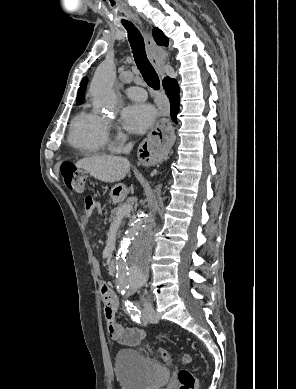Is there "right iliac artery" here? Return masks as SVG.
<instances>
[{
  "instance_id": "right-iliac-artery-1",
  "label": "right iliac artery",
  "mask_w": 296,
  "mask_h": 389,
  "mask_svg": "<svg viewBox=\"0 0 296 389\" xmlns=\"http://www.w3.org/2000/svg\"><path fill=\"white\" fill-rule=\"evenodd\" d=\"M120 292H121V294H125V290L124 289H122Z\"/></svg>"
}]
</instances>
